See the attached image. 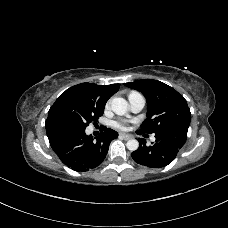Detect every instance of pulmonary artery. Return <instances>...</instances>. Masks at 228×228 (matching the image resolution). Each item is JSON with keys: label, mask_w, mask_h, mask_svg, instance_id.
<instances>
[{"label": "pulmonary artery", "mask_w": 228, "mask_h": 228, "mask_svg": "<svg viewBox=\"0 0 228 228\" xmlns=\"http://www.w3.org/2000/svg\"><path fill=\"white\" fill-rule=\"evenodd\" d=\"M128 101L132 112L137 113L140 112L145 106V98L139 92H131L128 95ZM155 137H152L154 140Z\"/></svg>", "instance_id": "1"}]
</instances>
